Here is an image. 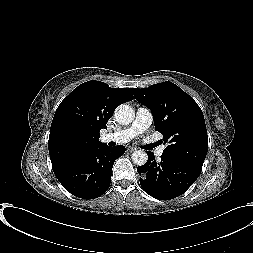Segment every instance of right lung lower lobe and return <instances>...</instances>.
Returning a JSON list of instances; mask_svg holds the SVG:
<instances>
[{"mask_svg": "<svg viewBox=\"0 0 253 253\" xmlns=\"http://www.w3.org/2000/svg\"><path fill=\"white\" fill-rule=\"evenodd\" d=\"M125 147L100 145L70 159L52 164L63 187L76 197L94 199L107 191L114 161Z\"/></svg>", "mask_w": 253, "mask_h": 253, "instance_id": "98d812e1", "label": "right lung lower lobe"}]
</instances>
